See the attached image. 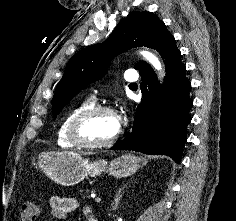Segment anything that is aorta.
<instances>
[{"label":"aorta","instance_id":"1","mask_svg":"<svg viewBox=\"0 0 236 221\" xmlns=\"http://www.w3.org/2000/svg\"><path fill=\"white\" fill-rule=\"evenodd\" d=\"M141 55L154 66V68L158 71H161L162 66L158 58L149 51H141Z\"/></svg>","mask_w":236,"mask_h":221}]
</instances>
